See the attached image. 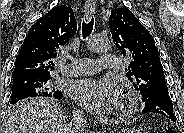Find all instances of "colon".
<instances>
[{
  "label": "colon",
  "instance_id": "obj_1",
  "mask_svg": "<svg viewBox=\"0 0 184 133\" xmlns=\"http://www.w3.org/2000/svg\"><path fill=\"white\" fill-rule=\"evenodd\" d=\"M166 133H175V131L170 129V130H167Z\"/></svg>",
  "mask_w": 184,
  "mask_h": 133
}]
</instances>
